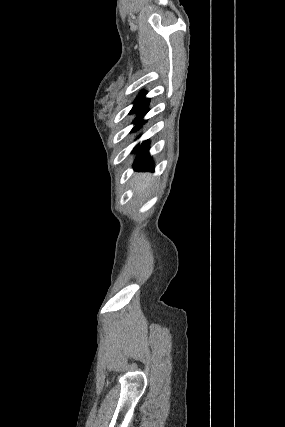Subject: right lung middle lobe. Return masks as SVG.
Returning a JSON list of instances; mask_svg holds the SVG:
<instances>
[{
	"label": "right lung middle lobe",
	"instance_id": "dd1d6c3e",
	"mask_svg": "<svg viewBox=\"0 0 285 427\" xmlns=\"http://www.w3.org/2000/svg\"><path fill=\"white\" fill-rule=\"evenodd\" d=\"M142 118L143 116H140L134 120L135 127L132 129V131L137 130L141 125L144 124V120H142ZM138 147H139V144L134 148V151H136Z\"/></svg>",
	"mask_w": 285,
	"mask_h": 427
}]
</instances>
